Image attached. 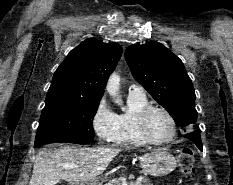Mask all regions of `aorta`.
Listing matches in <instances>:
<instances>
[{"instance_id":"aorta-1","label":"aorta","mask_w":233,"mask_h":185,"mask_svg":"<svg viewBox=\"0 0 233 185\" xmlns=\"http://www.w3.org/2000/svg\"><path fill=\"white\" fill-rule=\"evenodd\" d=\"M119 88H120V76L116 72H114L109 77V80L106 85V90L110 96L115 98V102L117 104L122 103V101L118 97Z\"/></svg>"}]
</instances>
